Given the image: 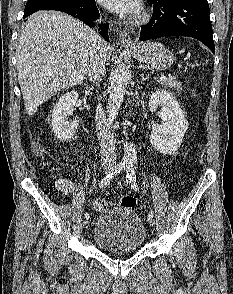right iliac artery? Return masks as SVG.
I'll return each mask as SVG.
<instances>
[{"mask_svg":"<svg viewBox=\"0 0 233 294\" xmlns=\"http://www.w3.org/2000/svg\"><path fill=\"white\" fill-rule=\"evenodd\" d=\"M125 167H127V163L125 162H120L117 164L115 167L114 171L110 172L107 174L99 183L100 188L106 187L110 182L113 180V178L119 174L121 171L125 170ZM84 217L88 219L90 217L89 213H85Z\"/></svg>","mask_w":233,"mask_h":294,"instance_id":"82829eb1","label":"right iliac artery"}]
</instances>
